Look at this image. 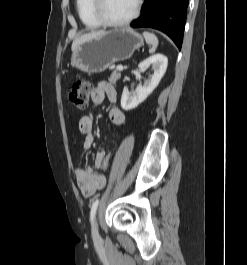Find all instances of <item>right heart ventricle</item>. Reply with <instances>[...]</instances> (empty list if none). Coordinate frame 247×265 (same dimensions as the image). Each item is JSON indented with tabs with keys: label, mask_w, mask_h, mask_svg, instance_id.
I'll return each mask as SVG.
<instances>
[{
	"label": "right heart ventricle",
	"mask_w": 247,
	"mask_h": 265,
	"mask_svg": "<svg viewBox=\"0 0 247 265\" xmlns=\"http://www.w3.org/2000/svg\"><path fill=\"white\" fill-rule=\"evenodd\" d=\"M76 8L82 23L90 29L101 27L92 11V0H76Z\"/></svg>",
	"instance_id": "1"
}]
</instances>
